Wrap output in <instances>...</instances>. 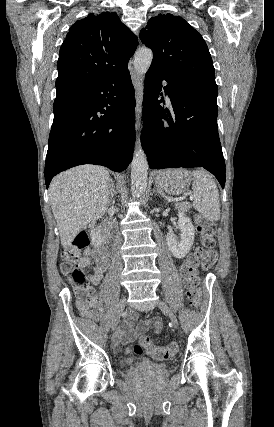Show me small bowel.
<instances>
[{
    "mask_svg": "<svg viewBox=\"0 0 274 427\" xmlns=\"http://www.w3.org/2000/svg\"><path fill=\"white\" fill-rule=\"evenodd\" d=\"M210 253L211 255L215 256L218 252L217 250L213 249ZM91 261H93L94 267L92 273L88 275V279L93 284H98L102 280V277L109 265V258L105 249L100 245L85 249L82 256L79 258L77 265L80 269H84L89 266ZM206 268L208 270H213L215 268V263L213 261H208L206 263ZM78 309L84 316L90 317L92 315L89 306L84 302L78 303ZM136 318V314H130L128 316L125 328L118 329L114 333L113 344L116 347L135 340L138 334L146 333L151 327H153L155 331L160 330L161 323L157 317L143 320L138 324L137 328H135L134 322Z\"/></svg>",
    "mask_w": 274,
    "mask_h": 427,
    "instance_id": "obj_1",
    "label": "small bowel"
}]
</instances>
